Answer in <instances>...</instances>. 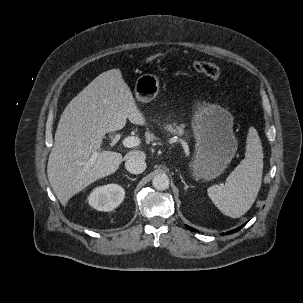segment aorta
<instances>
[{
    "label": "aorta",
    "instance_id": "1",
    "mask_svg": "<svg viewBox=\"0 0 303 303\" xmlns=\"http://www.w3.org/2000/svg\"><path fill=\"white\" fill-rule=\"evenodd\" d=\"M152 185L156 190H166L169 188V177L164 173L157 174L152 180Z\"/></svg>",
    "mask_w": 303,
    "mask_h": 303
}]
</instances>
